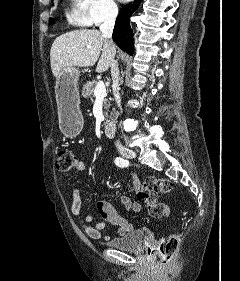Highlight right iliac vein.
Returning <instances> with one entry per match:
<instances>
[{
	"mask_svg": "<svg viewBox=\"0 0 240 281\" xmlns=\"http://www.w3.org/2000/svg\"><path fill=\"white\" fill-rule=\"evenodd\" d=\"M119 152L121 153V155L129 159H133L136 157V153L133 150L126 147H120Z\"/></svg>",
	"mask_w": 240,
	"mask_h": 281,
	"instance_id": "1",
	"label": "right iliac vein"
}]
</instances>
